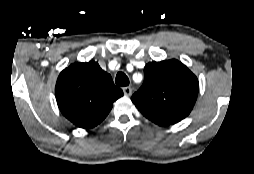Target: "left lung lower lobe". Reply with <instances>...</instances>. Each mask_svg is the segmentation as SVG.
I'll return each mask as SVG.
<instances>
[{
  "mask_svg": "<svg viewBox=\"0 0 254 174\" xmlns=\"http://www.w3.org/2000/svg\"><path fill=\"white\" fill-rule=\"evenodd\" d=\"M158 125H160V126H167L166 124H158Z\"/></svg>",
  "mask_w": 254,
  "mask_h": 174,
  "instance_id": "1",
  "label": "left lung lower lobe"
}]
</instances>
